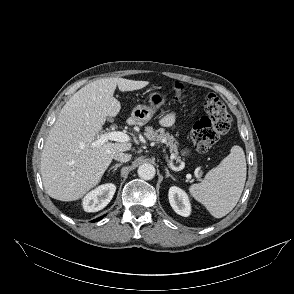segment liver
I'll list each match as a JSON object with an SVG mask.
<instances>
[{"mask_svg": "<svg viewBox=\"0 0 294 294\" xmlns=\"http://www.w3.org/2000/svg\"><path fill=\"white\" fill-rule=\"evenodd\" d=\"M148 81L103 78L77 91L61 109L46 139L41 176L47 194L60 201H75L98 185L114 155L129 151V142L94 146L107 117L118 115L121 105L113 97L139 90Z\"/></svg>", "mask_w": 294, "mask_h": 294, "instance_id": "1", "label": "liver"}]
</instances>
